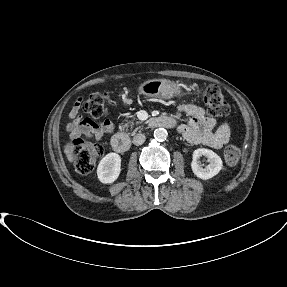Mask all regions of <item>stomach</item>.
Returning <instances> with one entry per match:
<instances>
[{"instance_id":"0dacf381","label":"stomach","mask_w":287,"mask_h":287,"mask_svg":"<svg viewBox=\"0 0 287 287\" xmlns=\"http://www.w3.org/2000/svg\"><path fill=\"white\" fill-rule=\"evenodd\" d=\"M138 91L148 98L171 99L181 95L179 86L166 79H153L142 83Z\"/></svg>"}]
</instances>
